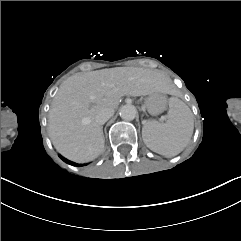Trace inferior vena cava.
I'll use <instances>...</instances> for the list:
<instances>
[{
	"instance_id": "1",
	"label": "inferior vena cava",
	"mask_w": 241,
	"mask_h": 241,
	"mask_svg": "<svg viewBox=\"0 0 241 241\" xmlns=\"http://www.w3.org/2000/svg\"><path fill=\"white\" fill-rule=\"evenodd\" d=\"M113 114L114 112L112 110L104 109L96 115L95 121L99 125H103L113 116Z\"/></svg>"
}]
</instances>
